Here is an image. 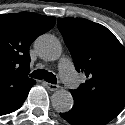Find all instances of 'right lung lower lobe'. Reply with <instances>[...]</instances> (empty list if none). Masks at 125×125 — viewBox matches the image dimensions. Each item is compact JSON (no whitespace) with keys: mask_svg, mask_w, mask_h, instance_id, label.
<instances>
[{"mask_svg":"<svg viewBox=\"0 0 125 125\" xmlns=\"http://www.w3.org/2000/svg\"><path fill=\"white\" fill-rule=\"evenodd\" d=\"M34 84L35 82L23 87H14L0 93V116L19 109Z\"/></svg>","mask_w":125,"mask_h":125,"instance_id":"obj_1","label":"right lung lower lobe"}]
</instances>
